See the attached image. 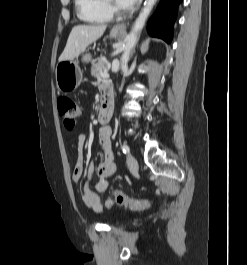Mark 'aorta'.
<instances>
[{
	"instance_id": "aorta-1",
	"label": "aorta",
	"mask_w": 247,
	"mask_h": 265,
	"mask_svg": "<svg viewBox=\"0 0 247 265\" xmlns=\"http://www.w3.org/2000/svg\"><path fill=\"white\" fill-rule=\"evenodd\" d=\"M156 2L157 0H145L141 13L139 14L138 18L136 19L132 27V30L130 31L129 35L126 38V44L121 57V68L127 67L132 50L134 49L136 43L138 42L140 32L143 29L144 24Z\"/></svg>"
}]
</instances>
